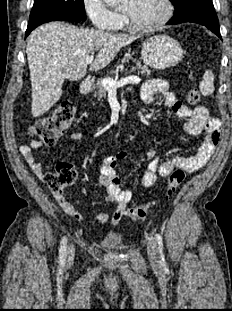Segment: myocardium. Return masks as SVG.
I'll return each instance as SVG.
<instances>
[{"label": "myocardium", "mask_w": 232, "mask_h": 311, "mask_svg": "<svg viewBox=\"0 0 232 311\" xmlns=\"http://www.w3.org/2000/svg\"><path fill=\"white\" fill-rule=\"evenodd\" d=\"M163 3L165 6V12L161 17V19L157 21L155 24L150 26L138 25L137 23L134 22V20L132 19L131 15L128 12L123 11L125 23L131 30L138 33H153L162 29L169 22L173 14L172 1L163 0Z\"/></svg>", "instance_id": "1"}]
</instances>
